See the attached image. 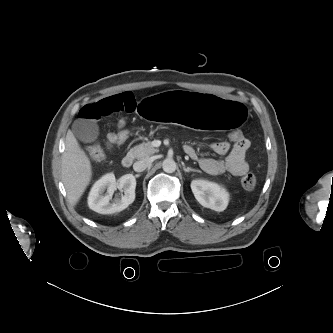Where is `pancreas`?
Wrapping results in <instances>:
<instances>
[{
  "label": "pancreas",
  "instance_id": "pancreas-1",
  "mask_svg": "<svg viewBox=\"0 0 333 333\" xmlns=\"http://www.w3.org/2000/svg\"><path fill=\"white\" fill-rule=\"evenodd\" d=\"M159 150L154 148L150 142L142 143L130 149L129 155L136 159H144L152 154L158 152Z\"/></svg>",
  "mask_w": 333,
  "mask_h": 333
}]
</instances>
